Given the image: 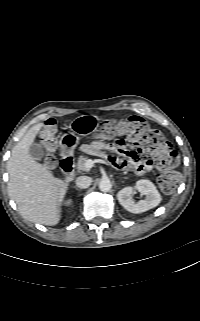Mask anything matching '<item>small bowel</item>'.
Wrapping results in <instances>:
<instances>
[{"label": "small bowel", "instance_id": "obj_1", "mask_svg": "<svg viewBox=\"0 0 200 321\" xmlns=\"http://www.w3.org/2000/svg\"><path fill=\"white\" fill-rule=\"evenodd\" d=\"M114 141L117 143L116 145L113 142H110L107 146L102 144H94L87 146L86 150L94 152H101L105 149L117 151L126 159H120L113 156H108L107 159L110 165L118 170H132L137 174H144L152 169L153 160L141 159L138 155L131 152V150L134 148L133 143L128 142L126 143L125 147L121 145L120 143H122L123 137L120 134L115 135Z\"/></svg>", "mask_w": 200, "mask_h": 321}]
</instances>
